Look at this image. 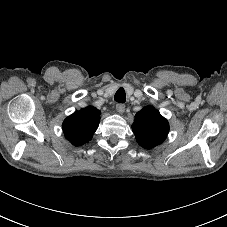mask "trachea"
<instances>
[{"instance_id": "trachea-1", "label": "trachea", "mask_w": 227, "mask_h": 227, "mask_svg": "<svg viewBox=\"0 0 227 227\" xmlns=\"http://www.w3.org/2000/svg\"><path fill=\"white\" fill-rule=\"evenodd\" d=\"M114 100L119 103H124L126 100L125 90L123 88H119L115 93Z\"/></svg>"}]
</instances>
